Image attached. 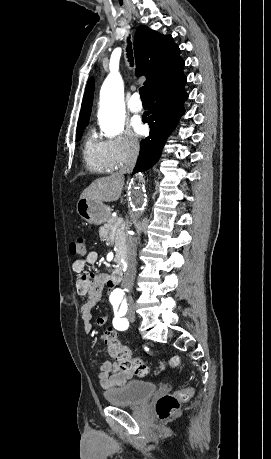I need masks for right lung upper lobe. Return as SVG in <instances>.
I'll use <instances>...</instances> for the list:
<instances>
[{
    "instance_id": "obj_1",
    "label": "right lung upper lobe",
    "mask_w": 271,
    "mask_h": 459,
    "mask_svg": "<svg viewBox=\"0 0 271 459\" xmlns=\"http://www.w3.org/2000/svg\"><path fill=\"white\" fill-rule=\"evenodd\" d=\"M136 75L145 76L148 92L172 75L182 72L184 61L180 49L171 35H161L145 25L137 28L134 39ZM94 82L87 83L81 106L79 121L89 120L93 102Z\"/></svg>"
}]
</instances>
